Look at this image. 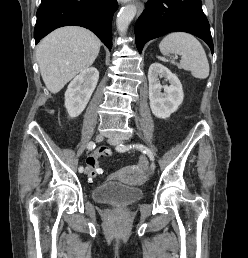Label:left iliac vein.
<instances>
[{"label": "left iliac vein", "instance_id": "1", "mask_svg": "<svg viewBox=\"0 0 248 258\" xmlns=\"http://www.w3.org/2000/svg\"><path fill=\"white\" fill-rule=\"evenodd\" d=\"M108 142H109V144H111L113 146H119L120 144H122V139L117 138V137H109ZM150 169H151V171H154V169H155L154 163L150 164Z\"/></svg>", "mask_w": 248, "mask_h": 258}]
</instances>
